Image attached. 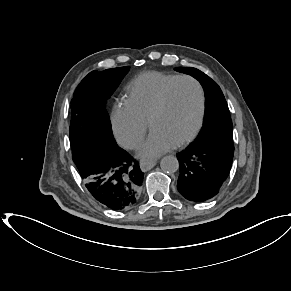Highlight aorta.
<instances>
[{
  "mask_svg": "<svg viewBox=\"0 0 291 291\" xmlns=\"http://www.w3.org/2000/svg\"><path fill=\"white\" fill-rule=\"evenodd\" d=\"M160 167L164 172H176L179 168L178 160L173 155L165 156L161 159Z\"/></svg>",
  "mask_w": 291,
  "mask_h": 291,
  "instance_id": "aorta-1",
  "label": "aorta"
}]
</instances>
